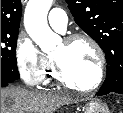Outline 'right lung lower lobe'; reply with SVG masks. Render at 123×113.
I'll list each match as a JSON object with an SVG mask.
<instances>
[{
	"mask_svg": "<svg viewBox=\"0 0 123 113\" xmlns=\"http://www.w3.org/2000/svg\"><path fill=\"white\" fill-rule=\"evenodd\" d=\"M9 83H7V82H1V87H5V86H7Z\"/></svg>",
	"mask_w": 123,
	"mask_h": 113,
	"instance_id": "right-lung-lower-lobe-1",
	"label": "right lung lower lobe"
}]
</instances>
